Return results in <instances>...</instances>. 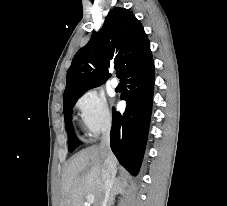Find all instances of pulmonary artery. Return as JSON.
<instances>
[{
  "label": "pulmonary artery",
  "mask_w": 227,
  "mask_h": 206,
  "mask_svg": "<svg viewBox=\"0 0 227 206\" xmlns=\"http://www.w3.org/2000/svg\"><path fill=\"white\" fill-rule=\"evenodd\" d=\"M119 82L116 78H112L110 80V85L113 87V88H116L118 86Z\"/></svg>",
  "instance_id": "1"
}]
</instances>
